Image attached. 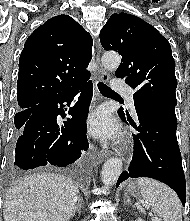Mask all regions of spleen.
Segmentation results:
<instances>
[{
    "mask_svg": "<svg viewBox=\"0 0 190 221\" xmlns=\"http://www.w3.org/2000/svg\"><path fill=\"white\" fill-rule=\"evenodd\" d=\"M137 185L161 221H182L181 202L171 188L150 178H139Z\"/></svg>",
    "mask_w": 190,
    "mask_h": 221,
    "instance_id": "1",
    "label": "spleen"
}]
</instances>
